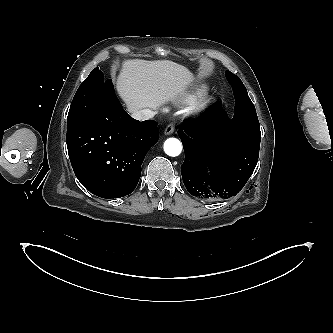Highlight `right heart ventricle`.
Instances as JSON below:
<instances>
[{"instance_id": "e07e8e85", "label": "right heart ventricle", "mask_w": 333, "mask_h": 333, "mask_svg": "<svg viewBox=\"0 0 333 333\" xmlns=\"http://www.w3.org/2000/svg\"><path fill=\"white\" fill-rule=\"evenodd\" d=\"M206 89L207 88L205 86L197 87L184 97L183 103H191L195 101L198 97L202 96L206 92Z\"/></svg>"}]
</instances>
